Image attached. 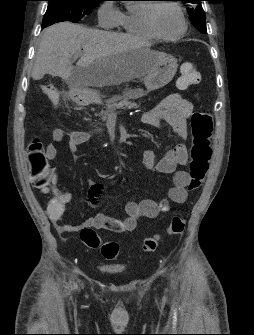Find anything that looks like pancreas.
Here are the masks:
<instances>
[{"label": "pancreas", "instance_id": "pancreas-1", "mask_svg": "<svg viewBox=\"0 0 254 335\" xmlns=\"http://www.w3.org/2000/svg\"><path fill=\"white\" fill-rule=\"evenodd\" d=\"M126 95L123 96H113L109 100H107V107L106 110H101L99 115L101 116L102 120L105 121L110 112L115 111L117 109H133L138 108L140 104H137L133 101L129 100Z\"/></svg>", "mask_w": 254, "mask_h": 335}]
</instances>
